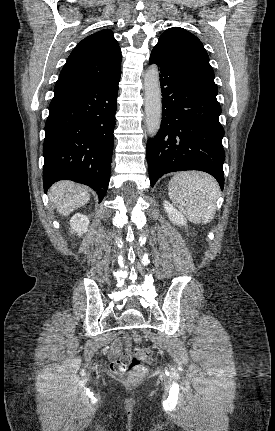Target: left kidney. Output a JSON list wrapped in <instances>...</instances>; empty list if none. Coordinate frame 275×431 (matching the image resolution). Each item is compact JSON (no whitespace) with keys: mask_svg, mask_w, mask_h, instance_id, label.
Returning <instances> with one entry per match:
<instances>
[{"mask_svg":"<svg viewBox=\"0 0 275 431\" xmlns=\"http://www.w3.org/2000/svg\"><path fill=\"white\" fill-rule=\"evenodd\" d=\"M163 206H164L165 212L168 214L170 221H172L174 224L178 226H187V220L185 216L176 208H174L170 202L165 200L163 203Z\"/></svg>","mask_w":275,"mask_h":431,"instance_id":"1","label":"left kidney"}]
</instances>
